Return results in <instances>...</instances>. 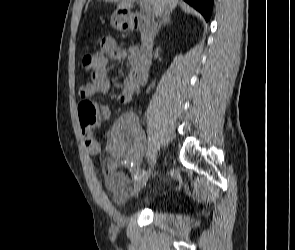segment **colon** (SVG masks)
Returning <instances> with one entry per match:
<instances>
[{
	"label": "colon",
	"mask_w": 295,
	"mask_h": 250,
	"mask_svg": "<svg viewBox=\"0 0 295 250\" xmlns=\"http://www.w3.org/2000/svg\"><path fill=\"white\" fill-rule=\"evenodd\" d=\"M85 70L94 72L97 61L94 54L87 53L82 58ZM80 124L85 131H90L98 123V113L95 104L89 99H83L78 105Z\"/></svg>",
	"instance_id": "5ec220e1"
}]
</instances>
